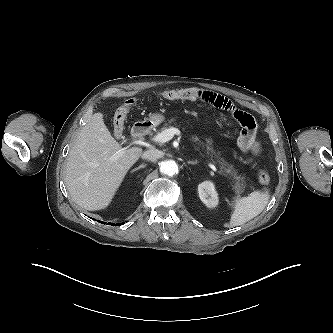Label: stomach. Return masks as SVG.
<instances>
[{"instance_id":"stomach-1","label":"stomach","mask_w":333,"mask_h":333,"mask_svg":"<svg viewBox=\"0 0 333 333\" xmlns=\"http://www.w3.org/2000/svg\"><path fill=\"white\" fill-rule=\"evenodd\" d=\"M164 120H165L164 115H162L160 113H154V114H151L149 116V118L146 119V122L149 125L156 126V125L160 124L161 122H163Z\"/></svg>"}]
</instances>
